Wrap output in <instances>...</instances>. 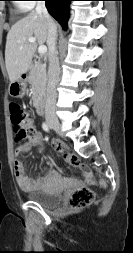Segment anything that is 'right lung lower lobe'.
I'll list each match as a JSON object with an SVG mask.
<instances>
[{
    "label": "right lung lower lobe",
    "mask_w": 133,
    "mask_h": 253,
    "mask_svg": "<svg viewBox=\"0 0 133 253\" xmlns=\"http://www.w3.org/2000/svg\"><path fill=\"white\" fill-rule=\"evenodd\" d=\"M70 1L72 0H45L48 12L61 24L64 30L67 28Z\"/></svg>",
    "instance_id": "98d812e1"
}]
</instances>
